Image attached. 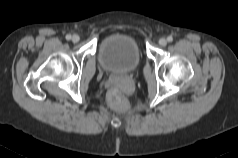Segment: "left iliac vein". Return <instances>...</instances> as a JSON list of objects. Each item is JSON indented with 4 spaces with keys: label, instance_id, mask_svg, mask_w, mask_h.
Instances as JSON below:
<instances>
[{
    "label": "left iliac vein",
    "instance_id": "4c4485c4",
    "mask_svg": "<svg viewBox=\"0 0 238 158\" xmlns=\"http://www.w3.org/2000/svg\"><path fill=\"white\" fill-rule=\"evenodd\" d=\"M159 44H160L161 46H166V45H167V40H166L165 38H161V39L159 40Z\"/></svg>",
    "mask_w": 238,
    "mask_h": 158
}]
</instances>
